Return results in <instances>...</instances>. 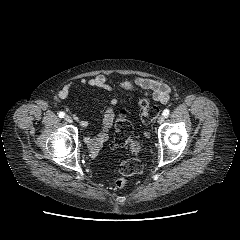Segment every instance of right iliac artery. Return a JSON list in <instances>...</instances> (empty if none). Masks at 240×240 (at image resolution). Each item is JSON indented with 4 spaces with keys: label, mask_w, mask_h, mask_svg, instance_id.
Instances as JSON below:
<instances>
[{
    "label": "right iliac artery",
    "mask_w": 240,
    "mask_h": 240,
    "mask_svg": "<svg viewBox=\"0 0 240 240\" xmlns=\"http://www.w3.org/2000/svg\"><path fill=\"white\" fill-rule=\"evenodd\" d=\"M58 116H59L60 118H64L65 113L61 111V112L58 113Z\"/></svg>",
    "instance_id": "obj_1"
}]
</instances>
